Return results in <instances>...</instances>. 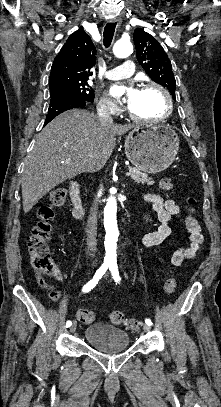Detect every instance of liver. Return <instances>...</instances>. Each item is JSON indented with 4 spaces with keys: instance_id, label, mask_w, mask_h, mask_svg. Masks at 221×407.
Segmentation results:
<instances>
[{
    "instance_id": "obj_1",
    "label": "liver",
    "mask_w": 221,
    "mask_h": 407,
    "mask_svg": "<svg viewBox=\"0 0 221 407\" xmlns=\"http://www.w3.org/2000/svg\"><path fill=\"white\" fill-rule=\"evenodd\" d=\"M134 125H102L86 110L66 111L36 137L21 179L23 210L29 212L50 190L85 172H95L112 155L116 135ZM70 159L68 163L66 161Z\"/></svg>"
}]
</instances>
